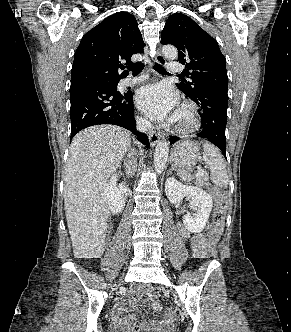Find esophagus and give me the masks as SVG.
<instances>
[{
  "label": "esophagus",
  "mask_w": 291,
  "mask_h": 332,
  "mask_svg": "<svg viewBox=\"0 0 291 332\" xmlns=\"http://www.w3.org/2000/svg\"><path fill=\"white\" fill-rule=\"evenodd\" d=\"M155 61L161 65H164L166 63L165 58L163 57V55L157 51L156 53V57H155ZM161 134L159 132H156L154 130H151L149 133V139H150V143L152 146H155L156 143L159 141V139L161 138Z\"/></svg>",
  "instance_id": "1"
}]
</instances>
